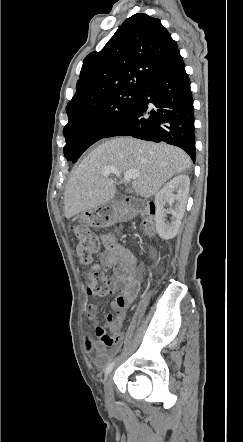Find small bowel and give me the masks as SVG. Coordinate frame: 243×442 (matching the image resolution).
I'll use <instances>...</instances> for the list:
<instances>
[{
	"mask_svg": "<svg viewBox=\"0 0 243 442\" xmlns=\"http://www.w3.org/2000/svg\"><path fill=\"white\" fill-rule=\"evenodd\" d=\"M101 242L104 251L100 255L101 261L112 268L113 276L109 280L113 291H118L119 295L112 302L113 313H108L105 317L104 325H95V343L86 338L85 346L89 353H93V363L97 368H104L111 358L108 347L119 343L121 340V327L126 316V310L136 299L141 288L140 266L134 254L109 234L101 235ZM86 318L89 321H96L98 308L90 303L86 307ZM112 334L109 335L107 331Z\"/></svg>",
	"mask_w": 243,
	"mask_h": 442,
	"instance_id": "1",
	"label": "small bowel"
}]
</instances>
